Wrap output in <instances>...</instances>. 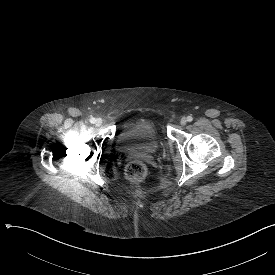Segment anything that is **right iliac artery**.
Wrapping results in <instances>:
<instances>
[{
    "label": "right iliac artery",
    "mask_w": 275,
    "mask_h": 275,
    "mask_svg": "<svg viewBox=\"0 0 275 275\" xmlns=\"http://www.w3.org/2000/svg\"><path fill=\"white\" fill-rule=\"evenodd\" d=\"M95 121H96V119H95V118H93V117H92V118H90V122H91V123H95Z\"/></svg>",
    "instance_id": "obj_1"
}]
</instances>
